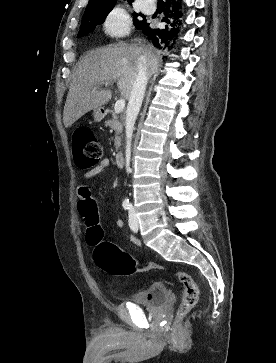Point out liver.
<instances>
[{
	"mask_svg": "<svg viewBox=\"0 0 276 363\" xmlns=\"http://www.w3.org/2000/svg\"><path fill=\"white\" fill-rule=\"evenodd\" d=\"M123 42L88 52L79 62L64 106V126L70 127L91 110L101 108L112 97L110 90H98L103 83L117 80L121 96L128 99L138 73V63L147 67V76L158 72L159 55L150 44Z\"/></svg>",
	"mask_w": 276,
	"mask_h": 363,
	"instance_id": "obj_1",
	"label": "liver"
}]
</instances>
